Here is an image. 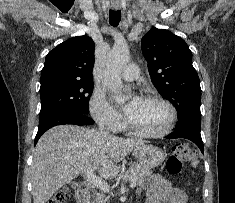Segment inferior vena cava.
I'll list each match as a JSON object with an SVG mask.
<instances>
[{
    "mask_svg": "<svg viewBox=\"0 0 235 203\" xmlns=\"http://www.w3.org/2000/svg\"><path fill=\"white\" fill-rule=\"evenodd\" d=\"M99 131L103 136H111L110 133L108 131L104 130L103 127H100Z\"/></svg>",
    "mask_w": 235,
    "mask_h": 203,
    "instance_id": "1",
    "label": "inferior vena cava"
}]
</instances>
